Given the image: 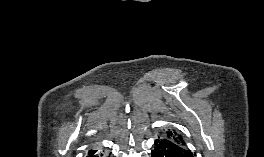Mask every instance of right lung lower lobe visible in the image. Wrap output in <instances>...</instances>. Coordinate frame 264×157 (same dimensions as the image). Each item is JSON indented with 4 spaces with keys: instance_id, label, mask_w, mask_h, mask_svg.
I'll return each mask as SVG.
<instances>
[{
    "instance_id": "98d812e1",
    "label": "right lung lower lobe",
    "mask_w": 264,
    "mask_h": 157,
    "mask_svg": "<svg viewBox=\"0 0 264 157\" xmlns=\"http://www.w3.org/2000/svg\"><path fill=\"white\" fill-rule=\"evenodd\" d=\"M87 157H112L111 154H104L101 152H98L96 149H90L88 151Z\"/></svg>"
}]
</instances>
